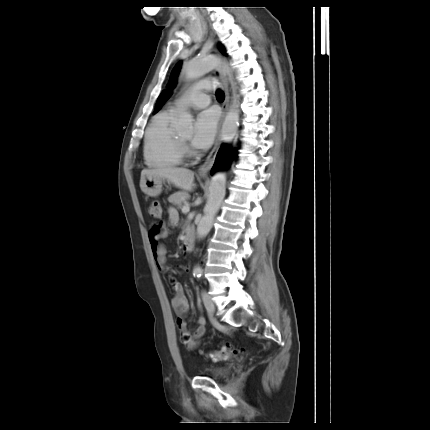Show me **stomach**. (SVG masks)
Here are the masks:
<instances>
[{"label": "stomach", "instance_id": "obj_1", "mask_svg": "<svg viewBox=\"0 0 430 430\" xmlns=\"http://www.w3.org/2000/svg\"><path fill=\"white\" fill-rule=\"evenodd\" d=\"M164 179L154 175H146L140 180V188L144 194L156 197L161 194Z\"/></svg>", "mask_w": 430, "mask_h": 430}]
</instances>
